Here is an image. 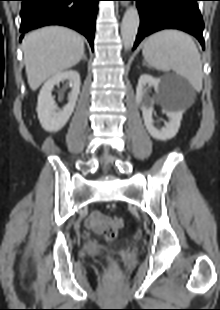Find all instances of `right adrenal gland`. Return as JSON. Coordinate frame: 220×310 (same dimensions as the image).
<instances>
[{"mask_svg": "<svg viewBox=\"0 0 220 310\" xmlns=\"http://www.w3.org/2000/svg\"><path fill=\"white\" fill-rule=\"evenodd\" d=\"M83 59H84V60H87L86 54L83 55Z\"/></svg>", "mask_w": 220, "mask_h": 310, "instance_id": "2a0ac1e0", "label": "right adrenal gland"}]
</instances>
